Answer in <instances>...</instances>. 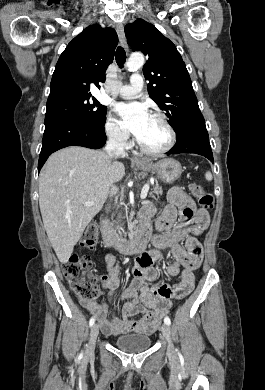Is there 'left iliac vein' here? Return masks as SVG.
<instances>
[{
	"instance_id": "left-iliac-vein-1",
	"label": "left iliac vein",
	"mask_w": 265,
	"mask_h": 390,
	"mask_svg": "<svg viewBox=\"0 0 265 390\" xmlns=\"http://www.w3.org/2000/svg\"><path fill=\"white\" fill-rule=\"evenodd\" d=\"M161 331L163 334V337L167 341L168 347H167V353L168 355H173L175 352L172 340H171V328L168 324H163L161 327Z\"/></svg>"
}]
</instances>
